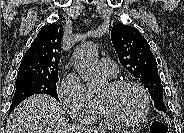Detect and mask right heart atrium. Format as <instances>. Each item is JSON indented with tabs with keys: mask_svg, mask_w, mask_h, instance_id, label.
Listing matches in <instances>:
<instances>
[{
	"mask_svg": "<svg viewBox=\"0 0 184 133\" xmlns=\"http://www.w3.org/2000/svg\"><path fill=\"white\" fill-rule=\"evenodd\" d=\"M59 95L65 112L72 119L91 122L97 117V99L77 75L73 73L65 75L59 85Z\"/></svg>",
	"mask_w": 184,
	"mask_h": 133,
	"instance_id": "obj_1",
	"label": "right heart atrium"
}]
</instances>
